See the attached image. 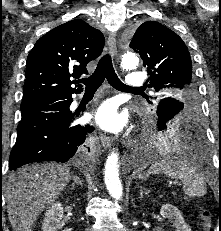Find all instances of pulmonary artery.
I'll return each instance as SVG.
<instances>
[{
  "label": "pulmonary artery",
  "mask_w": 221,
  "mask_h": 231,
  "mask_svg": "<svg viewBox=\"0 0 221 231\" xmlns=\"http://www.w3.org/2000/svg\"><path fill=\"white\" fill-rule=\"evenodd\" d=\"M145 84V77L139 72H131L126 80L125 85L130 88H139Z\"/></svg>",
  "instance_id": "1"
}]
</instances>
